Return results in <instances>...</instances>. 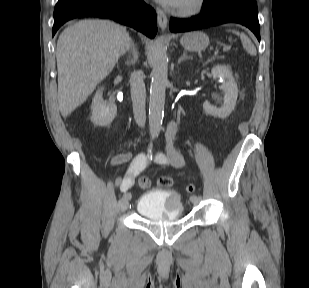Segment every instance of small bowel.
I'll return each instance as SVG.
<instances>
[{"instance_id":"small-bowel-1","label":"small bowel","mask_w":309,"mask_h":288,"mask_svg":"<svg viewBox=\"0 0 309 288\" xmlns=\"http://www.w3.org/2000/svg\"><path fill=\"white\" fill-rule=\"evenodd\" d=\"M177 132V122L172 120L166 131V149L163 152H157L154 154V161L160 165L170 166L173 168H181L184 165L183 156L175 149L173 140ZM131 158L130 153H121L117 155L113 162L116 165L125 163ZM148 163V158L144 153L138 154L131 161L130 167L128 168L123 179L120 181L121 190H130L135 183V179L138 174L144 170Z\"/></svg>"}]
</instances>
